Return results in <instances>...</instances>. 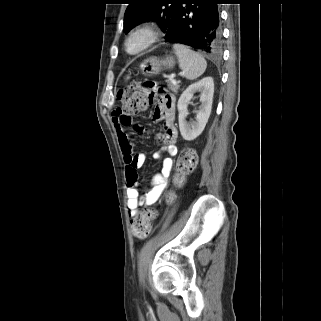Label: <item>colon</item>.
<instances>
[{
  "label": "colon",
  "instance_id": "1",
  "mask_svg": "<svg viewBox=\"0 0 321 321\" xmlns=\"http://www.w3.org/2000/svg\"><path fill=\"white\" fill-rule=\"evenodd\" d=\"M140 83L152 82H136L118 92L117 96L121 102V106L118 109L124 115L143 111L154 100L155 96L150 95V90H140L138 88ZM197 161V154L193 149H185L181 152L177 159L174 177V182L177 186L182 185L185 177L194 171ZM136 180V177H134L131 182L133 183ZM172 199L173 194H168L167 201L170 202ZM155 218L156 212L154 210H146L134 217L131 221L133 235L140 239L147 238L152 232Z\"/></svg>",
  "mask_w": 321,
  "mask_h": 321
}]
</instances>
